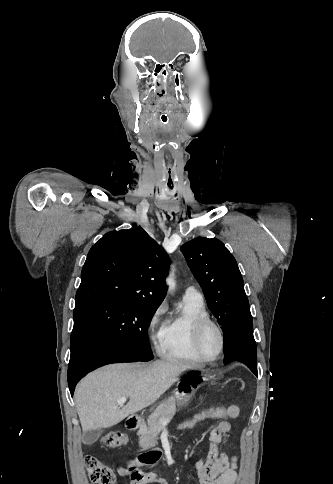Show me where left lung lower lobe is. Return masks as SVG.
I'll use <instances>...</instances> for the list:
<instances>
[{
  "mask_svg": "<svg viewBox=\"0 0 333 484\" xmlns=\"http://www.w3.org/2000/svg\"><path fill=\"white\" fill-rule=\"evenodd\" d=\"M224 363L240 361L257 375V349L253 337L251 314H246L234 325L225 342Z\"/></svg>",
  "mask_w": 333,
  "mask_h": 484,
  "instance_id": "0a47b994",
  "label": "left lung lower lobe"
}]
</instances>
